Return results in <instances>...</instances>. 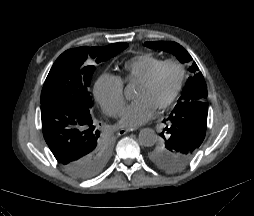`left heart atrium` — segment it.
Listing matches in <instances>:
<instances>
[{
	"label": "left heart atrium",
	"mask_w": 254,
	"mask_h": 216,
	"mask_svg": "<svg viewBox=\"0 0 254 216\" xmlns=\"http://www.w3.org/2000/svg\"><path fill=\"white\" fill-rule=\"evenodd\" d=\"M155 114L156 108L149 101L138 99L125 107L119 124L125 128H134L146 123Z\"/></svg>",
	"instance_id": "1"
}]
</instances>
